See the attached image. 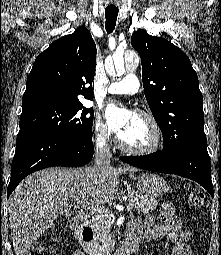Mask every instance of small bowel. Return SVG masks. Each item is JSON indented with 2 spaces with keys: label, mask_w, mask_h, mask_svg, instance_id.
<instances>
[{
  "label": "small bowel",
  "mask_w": 221,
  "mask_h": 255,
  "mask_svg": "<svg viewBox=\"0 0 221 255\" xmlns=\"http://www.w3.org/2000/svg\"><path fill=\"white\" fill-rule=\"evenodd\" d=\"M160 219L163 224H157L154 216L144 219V230L141 221L135 219L128 230L129 238L148 240H160L172 245L171 255H191L188 245L189 235L182 229L181 221L175 216L172 203H164L161 208ZM73 255H84L81 251H75Z\"/></svg>",
  "instance_id": "c3829d8e"
}]
</instances>
